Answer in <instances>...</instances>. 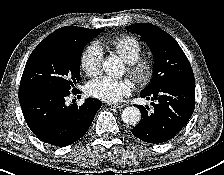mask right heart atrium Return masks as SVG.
Returning <instances> with one entry per match:
<instances>
[{"label":"right heart atrium","mask_w":224,"mask_h":175,"mask_svg":"<svg viewBox=\"0 0 224 175\" xmlns=\"http://www.w3.org/2000/svg\"><path fill=\"white\" fill-rule=\"evenodd\" d=\"M103 59V51L99 44L88 45L81 56V67L88 76L99 73Z\"/></svg>","instance_id":"d8ad5b80"}]
</instances>
